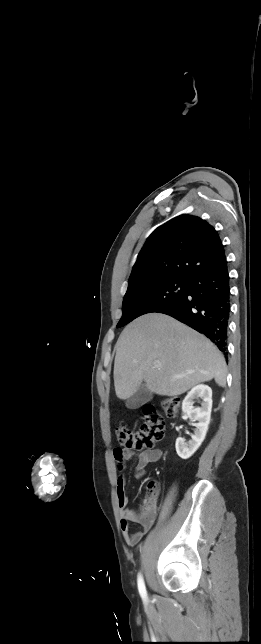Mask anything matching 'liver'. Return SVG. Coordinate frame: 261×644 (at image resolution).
I'll return each mask as SVG.
<instances>
[{
  "label": "liver",
  "mask_w": 261,
  "mask_h": 644,
  "mask_svg": "<svg viewBox=\"0 0 261 644\" xmlns=\"http://www.w3.org/2000/svg\"><path fill=\"white\" fill-rule=\"evenodd\" d=\"M160 362V367H155ZM227 367L205 336L160 313L138 317L116 343L114 386L119 399L130 398L145 382L151 393L178 396L212 379L226 384Z\"/></svg>",
  "instance_id": "liver-1"
}]
</instances>
